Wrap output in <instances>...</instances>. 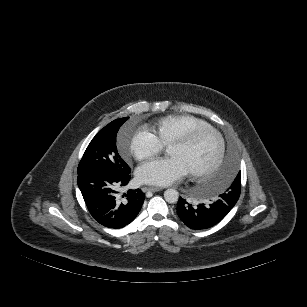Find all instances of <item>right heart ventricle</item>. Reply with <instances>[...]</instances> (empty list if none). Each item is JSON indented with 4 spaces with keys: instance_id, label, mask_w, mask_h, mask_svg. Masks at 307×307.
Listing matches in <instances>:
<instances>
[{
    "instance_id": "obj_1",
    "label": "right heart ventricle",
    "mask_w": 307,
    "mask_h": 307,
    "mask_svg": "<svg viewBox=\"0 0 307 307\" xmlns=\"http://www.w3.org/2000/svg\"><path fill=\"white\" fill-rule=\"evenodd\" d=\"M211 126L207 121L189 114L165 116L155 123V131L159 140L168 145L182 134L199 127Z\"/></svg>"
}]
</instances>
